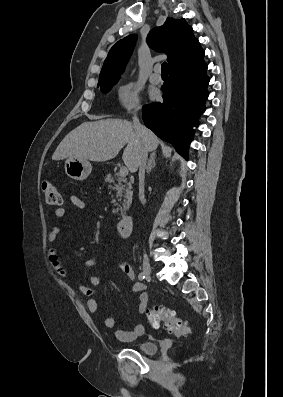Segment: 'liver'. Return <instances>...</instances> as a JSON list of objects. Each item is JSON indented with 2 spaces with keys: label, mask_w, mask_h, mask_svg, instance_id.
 Here are the masks:
<instances>
[{
  "label": "liver",
  "mask_w": 283,
  "mask_h": 397,
  "mask_svg": "<svg viewBox=\"0 0 283 397\" xmlns=\"http://www.w3.org/2000/svg\"><path fill=\"white\" fill-rule=\"evenodd\" d=\"M146 129V128H145ZM143 140L133 124L121 119H102L84 122L60 142L52 159L62 160L75 157L94 162H104L117 156L126 145L122 159L130 172L138 169V160L144 147L155 151L159 145L158 137L146 129Z\"/></svg>",
  "instance_id": "liver-1"
}]
</instances>
